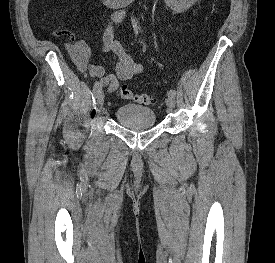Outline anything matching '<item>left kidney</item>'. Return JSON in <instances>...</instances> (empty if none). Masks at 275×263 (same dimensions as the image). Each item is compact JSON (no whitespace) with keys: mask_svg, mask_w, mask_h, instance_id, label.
Instances as JSON below:
<instances>
[{"mask_svg":"<svg viewBox=\"0 0 275 263\" xmlns=\"http://www.w3.org/2000/svg\"><path fill=\"white\" fill-rule=\"evenodd\" d=\"M197 0H165V3L176 13L189 9Z\"/></svg>","mask_w":275,"mask_h":263,"instance_id":"5707ae66","label":"left kidney"}]
</instances>
